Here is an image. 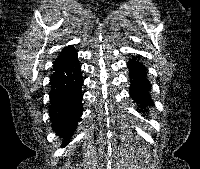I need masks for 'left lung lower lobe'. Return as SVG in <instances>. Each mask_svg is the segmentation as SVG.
<instances>
[{
	"mask_svg": "<svg viewBox=\"0 0 200 169\" xmlns=\"http://www.w3.org/2000/svg\"><path fill=\"white\" fill-rule=\"evenodd\" d=\"M127 65L131 68V83L133 86L130 90L132 98L140 105V110H144L146 106H151L152 100L149 94L151 85L146 78V69L138 60H130Z\"/></svg>",
	"mask_w": 200,
	"mask_h": 169,
	"instance_id": "0a47b994",
	"label": "left lung lower lobe"
}]
</instances>
